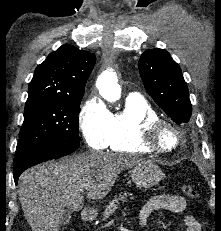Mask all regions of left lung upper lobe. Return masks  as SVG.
I'll use <instances>...</instances> for the list:
<instances>
[{"label":"left lung upper lobe","mask_w":221,"mask_h":231,"mask_svg":"<svg viewBox=\"0 0 221 231\" xmlns=\"http://www.w3.org/2000/svg\"><path fill=\"white\" fill-rule=\"evenodd\" d=\"M139 72L154 101L177 124L187 123L192 114L188 87L179 65L164 49H149L140 57Z\"/></svg>","instance_id":"left-lung-upper-lobe-1"}]
</instances>
